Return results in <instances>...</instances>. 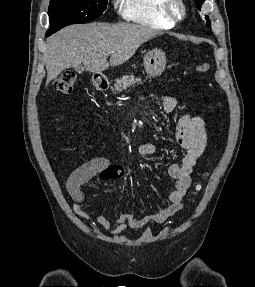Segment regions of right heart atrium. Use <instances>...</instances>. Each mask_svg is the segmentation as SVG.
I'll use <instances>...</instances> for the list:
<instances>
[{
    "mask_svg": "<svg viewBox=\"0 0 255 287\" xmlns=\"http://www.w3.org/2000/svg\"><path fill=\"white\" fill-rule=\"evenodd\" d=\"M107 48H123V47H107Z\"/></svg>",
    "mask_w": 255,
    "mask_h": 287,
    "instance_id": "d8ad5b80",
    "label": "right heart atrium"
}]
</instances>
